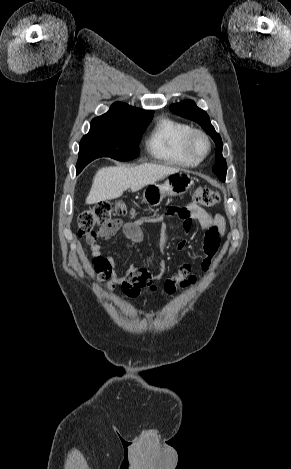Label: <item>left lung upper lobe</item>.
<instances>
[{"mask_svg": "<svg viewBox=\"0 0 291 469\" xmlns=\"http://www.w3.org/2000/svg\"><path fill=\"white\" fill-rule=\"evenodd\" d=\"M170 108L173 113L191 119L200 124L206 133L211 136L216 144V160L213 167V172L220 178V180L225 181L227 164L222 156L223 143L220 135L211 125L208 114L204 110L198 108L195 102L192 100H186L177 104H173L170 106Z\"/></svg>", "mask_w": 291, "mask_h": 469, "instance_id": "left-lung-upper-lobe-1", "label": "left lung upper lobe"}]
</instances>
